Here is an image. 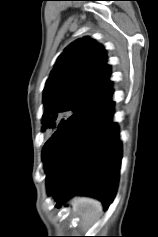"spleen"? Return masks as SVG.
<instances>
[{"instance_id": "spleen-1", "label": "spleen", "mask_w": 158, "mask_h": 237, "mask_svg": "<svg viewBox=\"0 0 158 237\" xmlns=\"http://www.w3.org/2000/svg\"><path fill=\"white\" fill-rule=\"evenodd\" d=\"M74 211L81 217L82 224L87 225L96 220L101 212V203L90 198H76L72 201Z\"/></svg>"}]
</instances>
